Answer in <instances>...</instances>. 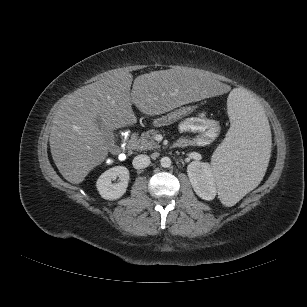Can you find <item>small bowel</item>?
Listing matches in <instances>:
<instances>
[{
    "label": "small bowel",
    "instance_id": "1",
    "mask_svg": "<svg viewBox=\"0 0 307 307\" xmlns=\"http://www.w3.org/2000/svg\"><path fill=\"white\" fill-rule=\"evenodd\" d=\"M179 130L185 133H196L197 136L193 138L180 139L187 143V145L204 146L211 143L219 134V123L207 117L205 112H201L194 117L182 120L179 123ZM186 145V146H187Z\"/></svg>",
    "mask_w": 307,
    "mask_h": 307
}]
</instances>
